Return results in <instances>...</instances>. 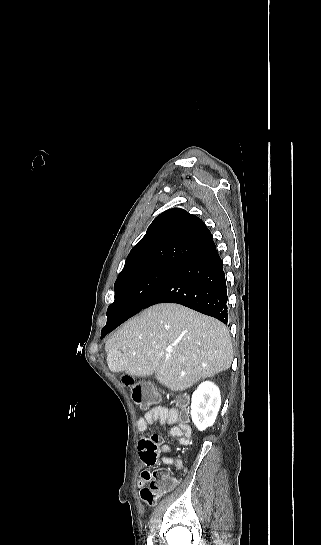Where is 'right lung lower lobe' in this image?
Instances as JSON below:
<instances>
[{
    "mask_svg": "<svg viewBox=\"0 0 321 545\" xmlns=\"http://www.w3.org/2000/svg\"><path fill=\"white\" fill-rule=\"evenodd\" d=\"M227 300L222 260L212 241L178 267L143 309L158 303H177L227 324ZM124 321L111 316V322L101 331V338Z\"/></svg>",
    "mask_w": 321,
    "mask_h": 545,
    "instance_id": "1",
    "label": "right lung lower lobe"
}]
</instances>
